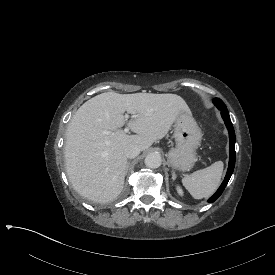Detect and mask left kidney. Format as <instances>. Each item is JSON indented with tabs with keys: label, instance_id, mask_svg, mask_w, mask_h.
<instances>
[{
	"label": "left kidney",
	"instance_id": "left-kidney-1",
	"mask_svg": "<svg viewBox=\"0 0 275 275\" xmlns=\"http://www.w3.org/2000/svg\"><path fill=\"white\" fill-rule=\"evenodd\" d=\"M176 190H177V193L180 195V196H183V190H182V188L180 187V186H176Z\"/></svg>",
	"mask_w": 275,
	"mask_h": 275
}]
</instances>
